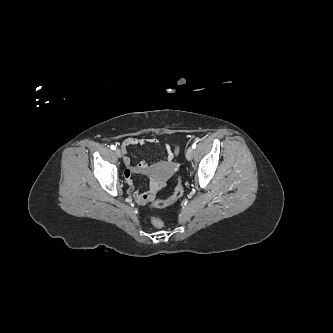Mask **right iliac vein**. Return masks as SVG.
<instances>
[{"instance_id":"obj_1","label":"right iliac vein","mask_w":333,"mask_h":333,"mask_svg":"<svg viewBox=\"0 0 333 333\" xmlns=\"http://www.w3.org/2000/svg\"><path fill=\"white\" fill-rule=\"evenodd\" d=\"M115 154H116L117 157H119V158L122 156V153H121L120 149H116V150H115Z\"/></svg>"}]
</instances>
